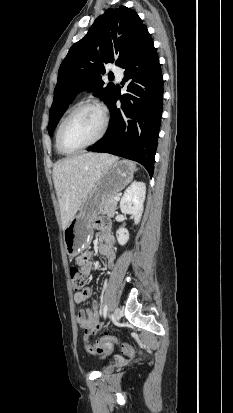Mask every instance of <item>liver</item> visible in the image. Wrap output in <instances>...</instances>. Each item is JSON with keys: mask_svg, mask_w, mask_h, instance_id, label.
Instances as JSON below:
<instances>
[{"mask_svg": "<svg viewBox=\"0 0 233 413\" xmlns=\"http://www.w3.org/2000/svg\"><path fill=\"white\" fill-rule=\"evenodd\" d=\"M117 158L109 154L86 153L57 161L53 168L62 229L76 215L102 172Z\"/></svg>", "mask_w": 233, "mask_h": 413, "instance_id": "liver-1", "label": "liver"}]
</instances>
